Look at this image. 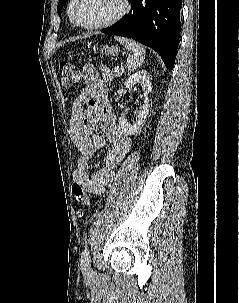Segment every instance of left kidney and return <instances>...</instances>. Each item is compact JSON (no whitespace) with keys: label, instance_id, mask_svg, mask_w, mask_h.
Returning a JSON list of instances; mask_svg holds the SVG:
<instances>
[{"label":"left kidney","instance_id":"1","mask_svg":"<svg viewBox=\"0 0 239 303\" xmlns=\"http://www.w3.org/2000/svg\"><path fill=\"white\" fill-rule=\"evenodd\" d=\"M139 84L142 87V92L144 96V104L142 108L138 111L136 120L133 124L127 122L124 117L119 118V125L120 127L126 132L128 135L135 134L140 126L144 123L145 119L147 118L149 112V98L148 95L152 89L150 77L148 76L147 72L144 70L137 71L133 75H131L127 81L125 82L126 88H133L134 85Z\"/></svg>","mask_w":239,"mask_h":303}]
</instances>
